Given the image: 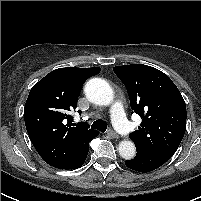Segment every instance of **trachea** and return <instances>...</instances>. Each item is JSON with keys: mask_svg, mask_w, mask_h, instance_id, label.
<instances>
[{"mask_svg": "<svg viewBox=\"0 0 201 201\" xmlns=\"http://www.w3.org/2000/svg\"><path fill=\"white\" fill-rule=\"evenodd\" d=\"M91 128L93 129H97L101 132H105L107 129V125L104 121L102 120H96L93 122V124L91 125Z\"/></svg>", "mask_w": 201, "mask_h": 201, "instance_id": "3493384b", "label": "trachea"}]
</instances>
